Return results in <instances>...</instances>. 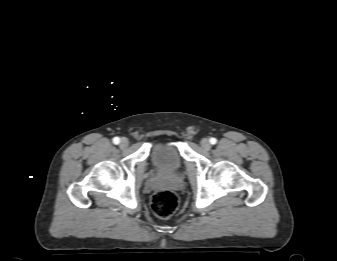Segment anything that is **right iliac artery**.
<instances>
[{
  "label": "right iliac artery",
  "mask_w": 337,
  "mask_h": 261,
  "mask_svg": "<svg viewBox=\"0 0 337 261\" xmlns=\"http://www.w3.org/2000/svg\"><path fill=\"white\" fill-rule=\"evenodd\" d=\"M113 143L114 144H119L120 143V138L119 137H114L113 138Z\"/></svg>",
  "instance_id": "obj_1"
}]
</instances>
